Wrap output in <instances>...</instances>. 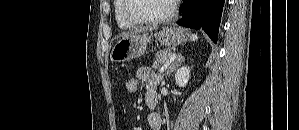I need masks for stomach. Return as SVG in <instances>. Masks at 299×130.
Wrapping results in <instances>:
<instances>
[{
	"label": "stomach",
	"mask_w": 299,
	"mask_h": 130,
	"mask_svg": "<svg viewBox=\"0 0 299 130\" xmlns=\"http://www.w3.org/2000/svg\"><path fill=\"white\" fill-rule=\"evenodd\" d=\"M161 45L175 46L187 40V31L180 27H166L160 32L155 33ZM152 35L149 34H130L126 35L116 42L113 46L110 58L112 62H125L138 58L144 54L148 43L151 42Z\"/></svg>",
	"instance_id": "1"
}]
</instances>
